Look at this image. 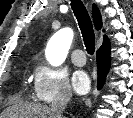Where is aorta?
<instances>
[{
	"mask_svg": "<svg viewBox=\"0 0 133 118\" xmlns=\"http://www.w3.org/2000/svg\"><path fill=\"white\" fill-rule=\"evenodd\" d=\"M74 37L71 28H63L55 33L51 39V48L46 53L47 60L53 66L61 65L68 54Z\"/></svg>",
	"mask_w": 133,
	"mask_h": 118,
	"instance_id": "762f6f07",
	"label": "aorta"
}]
</instances>
